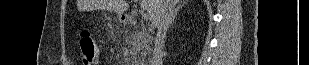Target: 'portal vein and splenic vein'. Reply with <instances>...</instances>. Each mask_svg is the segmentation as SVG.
<instances>
[{
	"instance_id": "18ae733b",
	"label": "portal vein and splenic vein",
	"mask_w": 309,
	"mask_h": 65,
	"mask_svg": "<svg viewBox=\"0 0 309 65\" xmlns=\"http://www.w3.org/2000/svg\"><path fill=\"white\" fill-rule=\"evenodd\" d=\"M142 19H144L145 21H148L149 15L147 13H143L142 14Z\"/></svg>"
}]
</instances>
